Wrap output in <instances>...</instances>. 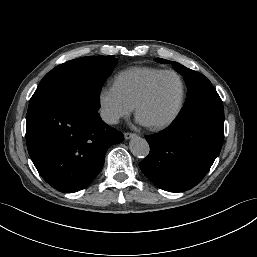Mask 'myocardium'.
<instances>
[{"instance_id": "myocardium-1", "label": "myocardium", "mask_w": 257, "mask_h": 257, "mask_svg": "<svg viewBox=\"0 0 257 257\" xmlns=\"http://www.w3.org/2000/svg\"><path fill=\"white\" fill-rule=\"evenodd\" d=\"M166 75H173L175 76L180 84V97H179V101L178 104L175 108V110L173 111V113L164 121L159 122V123H155V124H149V126L153 129V130H162L165 129L167 127H169L170 125H172L177 118L179 117V115L182 112V109L184 107L185 104V99H186V85L184 82V79L182 78V76L177 73L176 71L173 70H164L162 72H160L159 74H157L156 76H154L145 86V88L143 89V91L141 92V94L139 95V97L136 100L135 103V110L137 115L139 114V110L141 105L147 100V98L150 96L155 84L164 76Z\"/></svg>"}]
</instances>
